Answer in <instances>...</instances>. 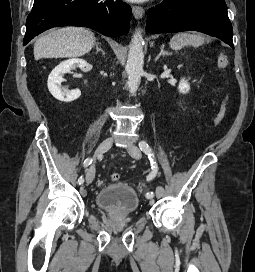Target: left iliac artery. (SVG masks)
<instances>
[{
	"instance_id": "44dca946",
	"label": "left iliac artery",
	"mask_w": 255,
	"mask_h": 272,
	"mask_svg": "<svg viewBox=\"0 0 255 272\" xmlns=\"http://www.w3.org/2000/svg\"><path fill=\"white\" fill-rule=\"evenodd\" d=\"M139 147L148 156V158L150 159L151 166H152V172L149 173L147 181H151V179L155 178V176H156V174L158 172L157 164L154 161V154L152 153V150H151L150 146L145 141H141L139 143ZM146 197L147 198H152L153 193H147Z\"/></svg>"
}]
</instances>
